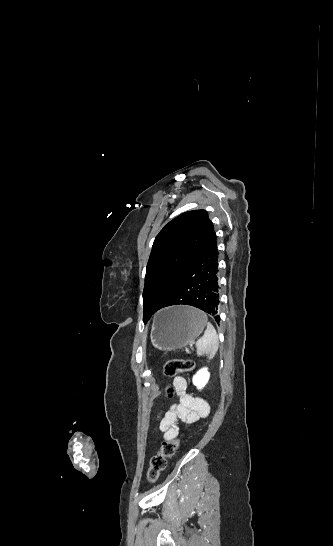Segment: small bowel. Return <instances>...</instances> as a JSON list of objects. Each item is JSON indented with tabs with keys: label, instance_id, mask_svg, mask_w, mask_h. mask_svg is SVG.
<instances>
[{
	"label": "small bowel",
	"instance_id": "c3829d8e",
	"mask_svg": "<svg viewBox=\"0 0 333 546\" xmlns=\"http://www.w3.org/2000/svg\"><path fill=\"white\" fill-rule=\"evenodd\" d=\"M173 388L178 396V402L170 406L159 424L164 440H172L178 436L179 422L193 426L210 413V406L206 401L188 393V383L184 377H175Z\"/></svg>",
	"mask_w": 333,
	"mask_h": 546
}]
</instances>
